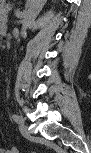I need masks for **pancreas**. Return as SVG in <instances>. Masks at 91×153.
Listing matches in <instances>:
<instances>
[{
    "label": "pancreas",
    "instance_id": "cf45deb5",
    "mask_svg": "<svg viewBox=\"0 0 91 153\" xmlns=\"http://www.w3.org/2000/svg\"><path fill=\"white\" fill-rule=\"evenodd\" d=\"M10 7L7 5L1 10V21L5 22L7 20V13L9 11Z\"/></svg>",
    "mask_w": 91,
    "mask_h": 153
}]
</instances>
